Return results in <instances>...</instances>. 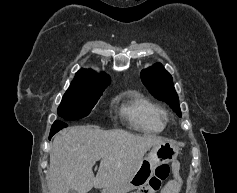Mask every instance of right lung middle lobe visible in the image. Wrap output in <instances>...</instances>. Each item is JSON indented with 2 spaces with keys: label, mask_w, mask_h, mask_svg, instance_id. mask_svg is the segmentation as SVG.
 I'll list each match as a JSON object with an SVG mask.
<instances>
[{
  "label": "right lung middle lobe",
  "mask_w": 237,
  "mask_h": 193,
  "mask_svg": "<svg viewBox=\"0 0 237 193\" xmlns=\"http://www.w3.org/2000/svg\"><path fill=\"white\" fill-rule=\"evenodd\" d=\"M104 89H82L70 86L58 107V115L65 120H77L89 115Z\"/></svg>",
  "instance_id": "1"
}]
</instances>
